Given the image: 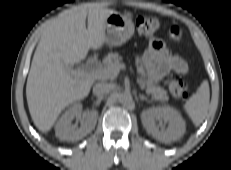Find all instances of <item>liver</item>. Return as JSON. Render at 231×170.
<instances>
[{"mask_svg":"<svg viewBox=\"0 0 231 170\" xmlns=\"http://www.w3.org/2000/svg\"><path fill=\"white\" fill-rule=\"evenodd\" d=\"M113 13L116 11L97 5H80L62 13L45 29L26 84L29 112L41 132L50 131L65 107L88 96L94 77L72 75L68 68L84 60L90 49L104 45V24Z\"/></svg>","mask_w":231,"mask_h":170,"instance_id":"1","label":"liver"}]
</instances>
